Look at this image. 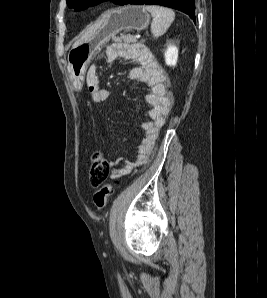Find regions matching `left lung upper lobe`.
I'll return each mask as SVG.
<instances>
[{
    "mask_svg": "<svg viewBox=\"0 0 267 298\" xmlns=\"http://www.w3.org/2000/svg\"><path fill=\"white\" fill-rule=\"evenodd\" d=\"M103 1L107 0H67V5L70 8H74L76 11L83 10L89 6L97 5ZM115 4L121 5L124 0H111Z\"/></svg>",
    "mask_w": 267,
    "mask_h": 298,
    "instance_id": "5c2ea615",
    "label": "left lung upper lobe"
}]
</instances>
